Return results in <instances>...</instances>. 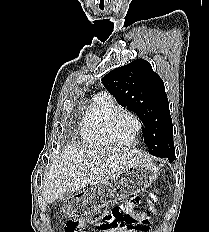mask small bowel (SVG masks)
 <instances>
[{
	"instance_id": "1",
	"label": "small bowel",
	"mask_w": 209,
	"mask_h": 232,
	"mask_svg": "<svg viewBox=\"0 0 209 232\" xmlns=\"http://www.w3.org/2000/svg\"><path fill=\"white\" fill-rule=\"evenodd\" d=\"M139 206L138 195L134 194L133 198H129L127 201L126 209H128L129 213H134L135 209ZM138 220L142 221H149L147 213H140L138 216ZM149 230V226H140L133 229L123 228V227H114V228H105L100 227V232H147Z\"/></svg>"
}]
</instances>
